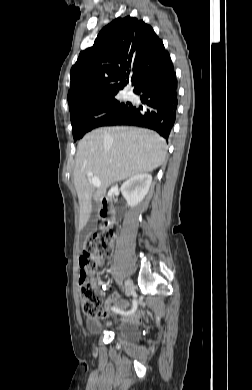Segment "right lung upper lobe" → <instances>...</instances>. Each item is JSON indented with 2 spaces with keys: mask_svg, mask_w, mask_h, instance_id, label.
<instances>
[{
  "mask_svg": "<svg viewBox=\"0 0 252 390\" xmlns=\"http://www.w3.org/2000/svg\"><path fill=\"white\" fill-rule=\"evenodd\" d=\"M172 71L169 53L153 28L137 18L119 17L100 31L92 47L80 52L71 68L69 110L116 95L129 75L135 92Z\"/></svg>",
  "mask_w": 252,
  "mask_h": 390,
  "instance_id": "cb5924a9",
  "label": "right lung upper lobe"
}]
</instances>
